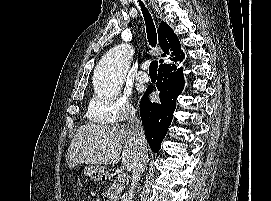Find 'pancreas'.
<instances>
[{"label":"pancreas","instance_id":"pancreas-1","mask_svg":"<svg viewBox=\"0 0 271 201\" xmlns=\"http://www.w3.org/2000/svg\"><path fill=\"white\" fill-rule=\"evenodd\" d=\"M123 191V186L113 180L111 186L102 195L106 198V201H119Z\"/></svg>","mask_w":271,"mask_h":201}]
</instances>
